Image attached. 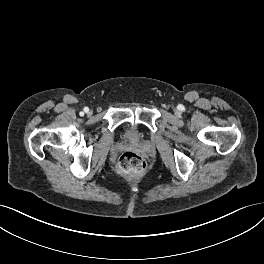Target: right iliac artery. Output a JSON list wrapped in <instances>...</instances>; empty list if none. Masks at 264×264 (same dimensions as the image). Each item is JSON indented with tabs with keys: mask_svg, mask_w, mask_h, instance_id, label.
<instances>
[{
	"mask_svg": "<svg viewBox=\"0 0 264 264\" xmlns=\"http://www.w3.org/2000/svg\"><path fill=\"white\" fill-rule=\"evenodd\" d=\"M88 111H89L88 107H85L84 112H88Z\"/></svg>",
	"mask_w": 264,
	"mask_h": 264,
	"instance_id": "obj_1",
	"label": "right iliac artery"
}]
</instances>
